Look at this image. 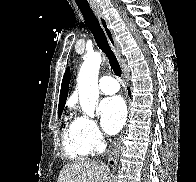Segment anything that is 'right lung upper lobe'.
<instances>
[{"instance_id": "1", "label": "right lung upper lobe", "mask_w": 196, "mask_h": 182, "mask_svg": "<svg viewBox=\"0 0 196 182\" xmlns=\"http://www.w3.org/2000/svg\"><path fill=\"white\" fill-rule=\"evenodd\" d=\"M69 80H70V69L68 67L65 71V74L62 80L61 91H60L58 110L61 113H62V110L64 109L65 102H66L67 95H68Z\"/></svg>"}]
</instances>
